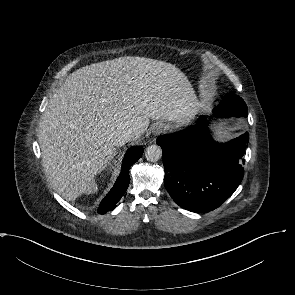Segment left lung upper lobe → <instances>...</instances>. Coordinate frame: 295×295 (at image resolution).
<instances>
[{
	"mask_svg": "<svg viewBox=\"0 0 295 295\" xmlns=\"http://www.w3.org/2000/svg\"><path fill=\"white\" fill-rule=\"evenodd\" d=\"M221 111L227 113H237L241 116H247L248 110L243 99L237 95H227L223 98L220 104L217 106Z\"/></svg>",
	"mask_w": 295,
	"mask_h": 295,
	"instance_id": "1",
	"label": "left lung upper lobe"
}]
</instances>
